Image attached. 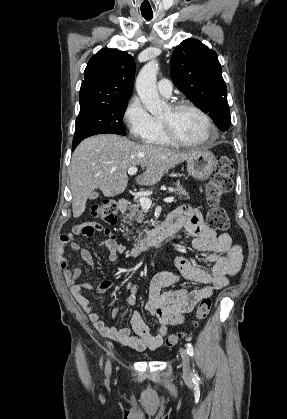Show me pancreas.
Instances as JSON below:
<instances>
[{"instance_id":"cf45deb5","label":"pancreas","mask_w":287,"mask_h":419,"mask_svg":"<svg viewBox=\"0 0 287 419\" xmlns=\"http://www.w3.org/2000/svg\"><path fill=\"white\" fill-rule=\"evenodd\" d=\"M175 191L176 194L179 195V199H182L183 196H188V192L180 185V183H176ZM127 210L128 212L125 213V218L127 219V224L129 226L132 225V221H136L137 223L143 222L145 215L144 211L140 208L139 201H135V203L129 206ZM126 231H128L127 227Z\"/></svg>"}]
</instances>
